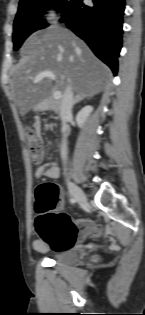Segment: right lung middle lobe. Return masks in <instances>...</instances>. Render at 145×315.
Returning <instances> with one entry per match:
<instances>
[{
	"instance_id": "obj_1",
	"label": "right lung middle lobe",
	"mask_w": 145,
	"mask_h": 315,
	"mask_svg": "<svg viewBox=\"0 0 145 315\" xmlns=\"http://www.w3.org/2000/svg\"><path fill=\"white\" fill-rule=\"evenodd\" d=\"M71 2L72 0H29L19 3L13 27L14 50L19 49L33 32L48 26L46 20L42 18L47 9L62 8L63 13Z\"/></svg>"
}]
</instances>
